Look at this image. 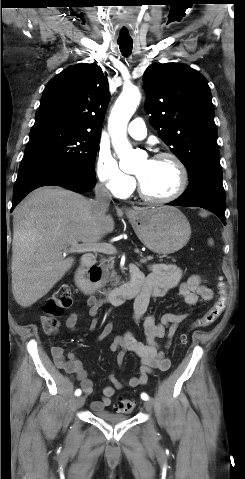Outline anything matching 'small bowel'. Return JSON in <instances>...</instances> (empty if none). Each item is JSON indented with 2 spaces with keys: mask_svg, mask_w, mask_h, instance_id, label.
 <instances>
[{
  "mask_svg": "<svg viewBox=\"0 0 245 479\" xmlns=\"http://www.w3.org/2000/svg\"><path fill=\"white\" fill-rule=\"evenodd\" d=\"M138 269L144 282V287L140 295L136 298L133 307V318L136 322L143 321V328L146 335V341L140 342L131 333L126 332L123 335L115 337L110 344V350L115 352L118 366H122L127 353L135 354L140 358L141 366L138 375L129 378L125 382L120 381L114 374L109 375L110 385L103 387L102 398L91 403V409L100 413L103 412L112 402V397L116 390L123 387L135 388L147 385L150 375L153 371H167L171 367V361L167 357L166 350L171 345V340L178 330L179 325L188 317L187 313H166L158 321L153 315L147 314L149 302L152 298L164 296L170 289L178 287L179 295L188 306H194L200 302H206L213 299V291L203 284L200 275H191L186 280H182V271L179 267L170 263H153L148 267L147 272H143L137 265H131L130 270ZM88 314L94 319L90 324V329L97 327L96 317L102 306L101 301L96 297L87 299ZM81 318L79 312H72L68 315L65 324L66 327L74 331ZM112 331V324L105 325L98 335L102 340ZM166 338L164 346L159 343L160 339ZM51 356L56 367L69 374H75L80 382L85 395L92 392L93 385L88 378L86 369L77 354L73 351L64 353L60 346H53L50 349Z\"/></svg>",
  "mask_w": 245,
  "mask_h": 479,
  "instance_id": "obj_1",
  "label": "small bowel"
}]
</instances>
